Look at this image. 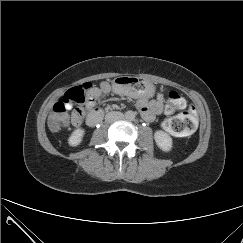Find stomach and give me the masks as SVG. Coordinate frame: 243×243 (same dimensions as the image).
Wrapping results in <instances>:
<instances>
[{
    "label": "stomach",
    "instance_id": "0dacf381",
    "mask_svg": "<svg viewBox=\"0 0 243 243\" xmlns=\"http://www.w3.org/2000/svg\"><path fill=\"white\" fill-rule=\"evenodd\" d=\"M112 90L116 94L130 97L152 98L156 94V87L152 83L143 81L133 76L117 77L112 83Z\"/></svg>",
    "mask_w": 243,
    "mask_h": 243
}]
</instances>
